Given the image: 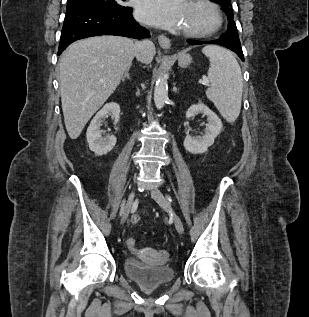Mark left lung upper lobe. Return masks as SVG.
I'll return each mask as SVG.
<instances>
[{"instance_id":"5c2ea615","label":"left lung upper lobe","mask_w":309,"mask_h":317,"mask_svg":"<svg viewBox=\"0 0 309 317\" xmlns=\"http://www.w3.org/2000/svg\"><path fill=\"white\" fill-rule=\"evenodd\" d=\"M213 2H216L222 6V10L226 13L227 19H228V29L223 36L232 38L236 41L239 40L238 32H237V27L236 24L233 20L234 15H233V8L231 5V0H211Z\"/></svg>"}]
</instances>
